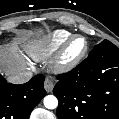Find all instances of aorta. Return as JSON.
<instances>
[{
	"instance_id": "762f6f07",
	"label": "aorta",
	"mask_w": 119,
	"mask_h": 119,
	"mask_svg": "<svg viewBox=\"0 0 119 119\" xmlns=\"http://www.w3.org/2000/svg\"><path fill=\"white\" fill-rule=\"evenodd\" d=\"M44 106L47 109H55L58 106V100L54 95H48L44 98Z\"/></svg>"
}]
</instances>
